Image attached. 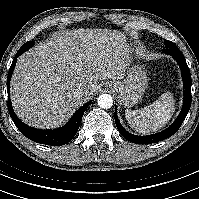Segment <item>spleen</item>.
<instances>
[{"mask_svg":"<svg viewBox=\"0 0 199 199\" xmlns=\"http://www.w3.org/2000/svg\"><path fill=\"white\" fill-rule=\"evenodd\" d=\"M174 110V99L171 93H164L143 109L125 110V115L128 123L136 132L146 134L156 132L165 126Z\"/></svg>","mask_w":199,"mask_h":199,"instance_id":"3e777b00","label":"spleen"}]
</instances>
